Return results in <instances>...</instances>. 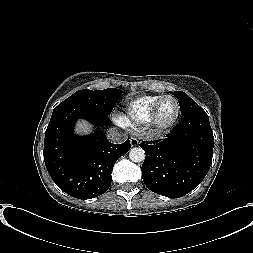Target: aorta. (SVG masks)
<instances>
[{
	"mask_svg": "<svg viewBox=\"0 0 253 253\" xmlns=\"http://www.w3.org/2000/svg\"><path fill=\"white\" fill-rule=\"evenodd\" d=\"M145 151L140 147L132 148L129 152V157L133 162H143L145 159Z\"/></svg>",
	"mask_w": 253,
	"mask_h": 253,
	"instance_id": "1",
	"label": "aorta"
}]
</instances>
